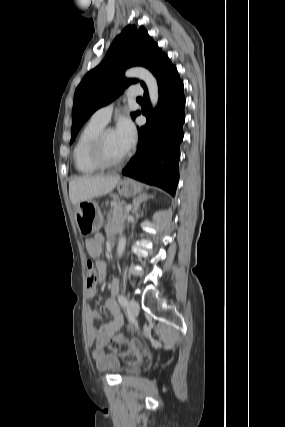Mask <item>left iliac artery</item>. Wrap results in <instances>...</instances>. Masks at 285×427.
I'll list each match as a JSON object with an SVG mask.
<instances>
[{
  "mask_svg": "<svg viewBox=\"0 0 285 427\" xmlns=\"http://www.w3.org/2000/svg\"><path fill=\"white\" fill-rule=\"evenodd\" d=\"M118 301H119V303H120V305L122 306V307H127L128 306V300H127V298L124 296V295H119L118 296Z\"/></svg>",
  "mask_w": 285,
  "mask_h": 427,
  "instance_id": "44dca946",
  "label": "left iliac artery"
}]
</instances>
